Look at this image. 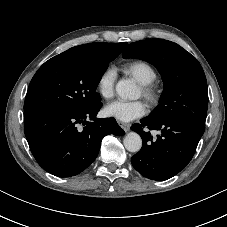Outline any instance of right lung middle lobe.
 I'll use <instances>...</instances> for the list:
<instances>
[{
  "mask_svg": "<svg viewBox=\"0 0 227 227\" xmlns=\"http://www.w3.org/2000/svg\"><path fill=\"white\" fill-rule=\"evenodd\" d=\"M121 51L116 44L97 56L65 51L45 62L33 76L25 98L24 120L52 110L87 109L98 102L96 88Z\"/></svg>",
  "mask_w": 227,
  "mask_h": 227,
  "instance_id": "dd1d6c3e",
  "label": "right lung middle lobe"
}]
</instances>
